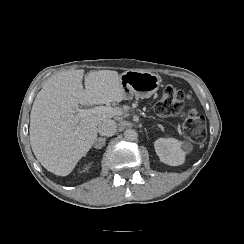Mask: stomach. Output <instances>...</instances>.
<instances>
[{"mask_svg":"<svg viewBox=\"0 0 244 244\" xmlns=\"http://www.w3.org/2000/svg\"><path fill=\"white\" fill-rule=\"evenodd\" d=\"M119 79L127 99H131L133 96L148 98L160 86L159 76L147 71L129 69L123 72Z\"/></svg>","mask_w":244,"mask_h":244,"instance_id":"stomach-1","label":"stomach"}]
</instances>
